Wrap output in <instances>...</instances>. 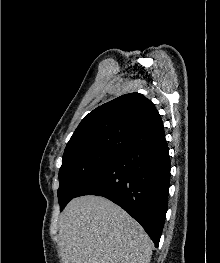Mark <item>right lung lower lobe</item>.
<instances>
[{
    "label": "right lung lower lobe",
    "mask_w": 220,
    "mask_h": 263,
    "mask_svg": "<svg viewBox=\"0 0 220 263\" xmlns=\"http://www.w3.org/2000/svg\"><path fill=\"white\" fill-rule=\"evenodd\" d=\"M165 134L131 144L117 160L90 180L75 197L103 196L137 220L158 247L167 207L170 180Z\"/></svg>",
    "instance_id": "98d812e1"
}]
</instances>
